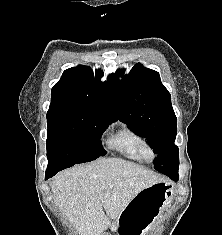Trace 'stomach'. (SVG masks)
<instances>
[{"instance_id":"1","label":"stomach","mask_w":222,"mask_h":235,"mask_svg":"<svg viewBox=\"0 0 222 235\" xmlns=\"http://www.w3.org/2000/svg\"><path fill=\"white\" fill-rule=\"evenodd\" d=\"M175 191L168 182H157L140 191L111 225L116 235H146L170 205Z\"/></svg>"}]
</instances>
